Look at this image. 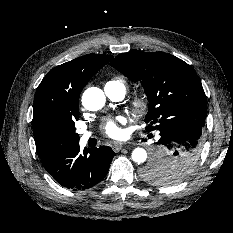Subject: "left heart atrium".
Masks as SVG:
<instances>
[{
    "label": "left heart atrium",
    "instance_id": "1",
    "mask_svg": "<svg viewBox=\"0 0 233 233\" xmlns=\"http://www.w3.org/2000/svg\"><path fill=\"white\" fill-rule=\"evenodd\" d=\"M124 122L122 117H116L114 119H108L103 125L104 133L113 139H119L123 136V130L120 126Z\"/></svg>",
    "mask_w": 233,
    "mask_h": 233
}]
</instances>
